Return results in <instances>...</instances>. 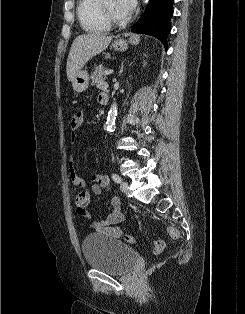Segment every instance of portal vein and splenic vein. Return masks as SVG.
<instances>
[{
    "label": "portal vein and splenic vein",
    "mask_w": 245,
    "mask_h": 314,
    "mask_svg": "<svg viewBox=\"0 0 245 314\" xmlns=\"http://www.w3.org/2000/svg\"><path fill=\"white\" fill-rule=\"evenodd\" d=\"M113 73V70H107V71H105V75H110V74H112Z\"/></svg>",
    "instance_id": "1"
}]
</instances>
